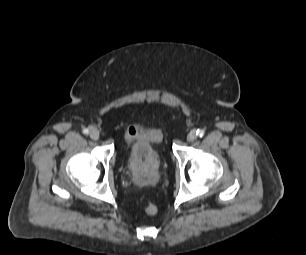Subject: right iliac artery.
Masks as SVG:
<instances>
[{"mask_svg": "<svg viewBox=\"0 0 306 255\" xmlns=\"http://www.w3.org/2000/svg\"><path fill=\"white\" fill-rule=\"evenodd\" d=\"M83 133L87 135V134L89 133V130H88L87 128H85V129L83 130Z\"/></svg>", "mask_w": 306, "mask_h": 255, "instance_id": "right-iliac-artery-1", "label": "right iliac artery"}]
</instances>
